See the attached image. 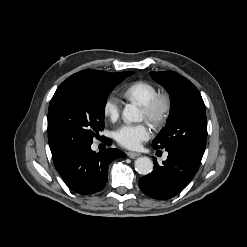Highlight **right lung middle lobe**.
Wrapping results in <instances>:
<instances>
[{"instance_id": "1", "label": "right lung middle lobe", "mask_w": 247, "mask_h": 247, "mask_svg": "<svg viewBox=\"0 0 247 247\" xmlns=\"http://www.w3.org/2000/svg\"><path fill=\"white\" fill-rule=\"evenodd\" d=\"M133 71L114 78H67L56 90L48 110V141L52 154L92 144L104 128L106 99L112 89Z\"/></svg>"}]
</instances>
